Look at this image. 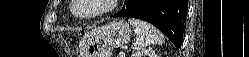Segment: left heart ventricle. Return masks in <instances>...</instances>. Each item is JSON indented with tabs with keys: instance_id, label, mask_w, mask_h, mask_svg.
<instances>
[{
	"instance_id": "obj_1",
	"label": "left heart ventricle",
	"mask_w": 249,
	"mask_h": 57,
	"mask_svg": "<svg viewBox=\"0 0 249 57\" xmlns=\"http://www.w3.org/2000/svg\"><path fill=\"white\" fill-rule=\"evenodd\" d=\"M104 6L103 0H79L75 11L77 14L85 15L94 13Z\"/></svg>"
}]
</instances>
